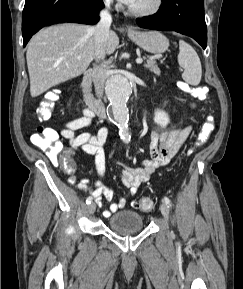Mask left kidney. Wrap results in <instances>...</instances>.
<instances>
[{
    "instance_id": "left-kidney-1",
    "label": "left kidney",
    "mask_w": 243,
    "mask_h": 289,
    "mask_svg": "<svg viewBox=\"0 0 243 289\" xmlns=\"http://www.w3.org/2000/svg\"><path fill=\"white\" fill-rule=\"evenodd\" d=\"M154 122L161 127L165 128L169 123L168 114L161 110L155 111Z\"/></svg>"
}]
</instances>
